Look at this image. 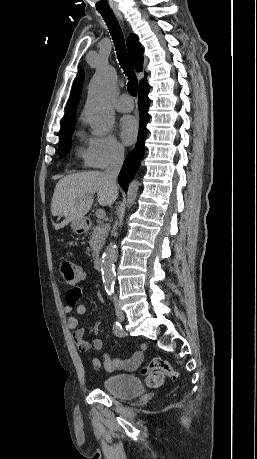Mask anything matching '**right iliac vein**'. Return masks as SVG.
Returning <instances> with one entry per match:
<instances>
[{"mask_svg":"<svg viewBox=\"0 0 257 459\" xmlns=\"http://www.w3.org/2000/svg\"><path fill=\"white\" fill-rule=\"evenodd\" d=\"M117 316H118V319H119L120 321L123 320V315H122V313L119 312V313L117 314Z\"/></svg>","mask_w":257,"mask_h":459,"instance_id":"obj_1","label":"right iliac vein"}]
</instances>
